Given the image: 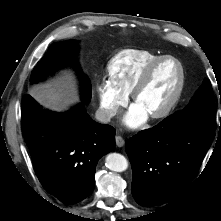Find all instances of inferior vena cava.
<instances>
[{
  "label": "inferior vena cava",
  "instance_id": "inferior-vena-cava-1",
  "mask_svg": "<svg viewBox=\"0 0 221 221\" xmlns=\"http://www.w3.org/2000/svg\"><path fill=\"white\" fill-rule=\"evenodd\" d=\"M117 113V107H111V108H99L95 113V118L102 122L107 123L111 120L112 117H114Z\"/></svg>",
  "mask_w": 221,
  "mask_h": 221
}]
</instances>
